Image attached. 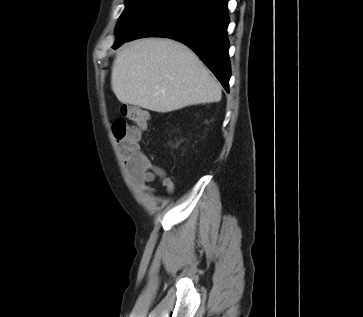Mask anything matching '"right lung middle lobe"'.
Segmentation results:
<instances>
[{"instance_id": "obj_1", "label": "right lung middle lobe", "mask_w": 363, "mask_h": 317, "mask_svg": "<svg viewBox=\"0 0 363 317\" xmlns=\"http://www.w3.org/2000/svg\"><path fill=\"white\" fill-rule=\"evenodd\" d=\"M179 0H126L116 26L117 43L130 38L143 24Z\"/></svg>"}]
</instances>
